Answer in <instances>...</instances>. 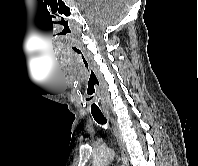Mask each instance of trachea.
<instances>
[{"mask_svg":"<svg viewBox=\"0 0 198 166\" xmlns=\"http://www.w3.org/2000/svg\"><path fill=\"white\" fill-rule=\"evenodd\" d=\"M93 118L95 119V121L101 125H104L107 123L106 118L104 117L103 114L101 113H92Z\"/></svg>","mask_w":198,"mask_h":166,"instance_id":"3493384b","label":"trachea"}]
</instances>
